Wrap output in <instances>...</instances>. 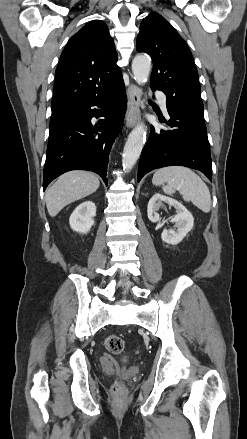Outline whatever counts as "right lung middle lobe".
Segmentation results:
<instances>
[{
  "mask_svg": "<svg viewBox=\"0 0 247 439\" xmlns=\"http://www.w3.org/2000/svg\"><path fill=\"white\" fill-rule=\"evenodd\" d=\"M58 114H60V113H52V116H51V118H53V117L57 116Z\"/></svg>",
  "mask_w": 247,
  "mask_h": 439,
  "instance_id": "right-lung-middle-lobe-1",
  "label": "right lung middle lobe"
}]
</instances>
